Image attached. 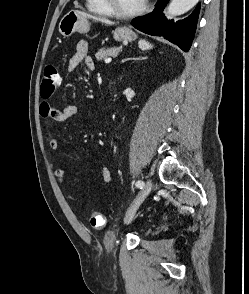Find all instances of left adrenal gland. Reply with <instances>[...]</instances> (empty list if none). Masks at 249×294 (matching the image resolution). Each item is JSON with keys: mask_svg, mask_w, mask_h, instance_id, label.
Returning <instances> with one entry per match:
<instances>
[{"mask_svg": "<svg viewBox=\"0 0 249 294\" xmlns=\"http://www.w3.org/2000/svg\"><path fill=\"white\" fill-rule=\"evenodd\" d=\"M147 57H139V58H127L122 60V62L128 61V60H141V59H146Z\"/></svg>", "mask_w": 249, "mask_h": 294, "instance_id": "left-adrenal-gland-1", "label": "left adrenal gland"}]
</instances>
